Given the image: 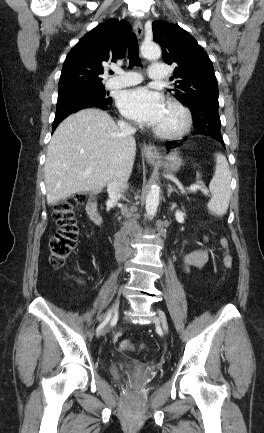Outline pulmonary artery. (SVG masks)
I'll use <instances>...</instances> for the list:
<instances>
[{
  "label": "pulmonary artery",
  "instance_id": "1",
  "mask_svg": "<svg viewBox=\"0 0 264 433\" xmlns=\"http://www.w3.org/2000/svg\"><path fill=\"white\" fill-rule=\"evenodd\" d=\"M118 75L106 82L108 88H124L136 85L142 81L141 76L135 71L118 70ZM167 77V69L161 64H152L150 66L149 78L152 80H162Z\"/></svg>",
  "mask_w": 264,
  "mask_h": 433
}]
</instances>
